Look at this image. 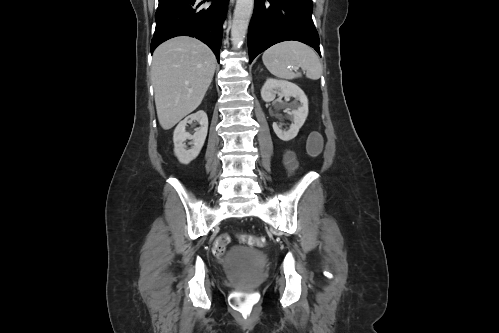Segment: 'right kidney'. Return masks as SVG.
<instances>
[{"label": "right kidney", "mask_w": 499, "mask_h": 333, "mask_svg": "<svg viewBox=\"0 0 499 333\" xmlns=\"http://www.w3.org/2000/svg\"><path fill=\"white\" fill-rule=\"evenodd\" d=\"M193 121L199 122L200 128L191 135L186 132L185 128L187 124H191ZM207 131L208 118L207 114L202 110L189 115L177 125L173 134L174 153L182 164H189L199 155L204 145ZM187 139L192 140L191 144L193 146L190 149H187V146L184 143Z\"/></svg>", "instance_id": "obj_1"}]
</instances>
